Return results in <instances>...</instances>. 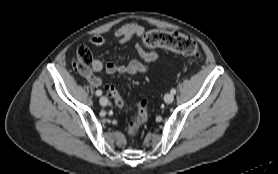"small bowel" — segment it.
<instances>
[{"label": "small bowel", "mask_w": 278, "mask_h": 174, "mask_svg": "<svg viewBox=\"0 0 278 174\" xmlns=\"http://www.w3.org/2000/svg\"><path fill=\"white\" fill-rule=\"evenodd\" d=\"M145 33V27L142 24L133 22L119 27L113 34V37L119 43L129 42L134 37H142ZM108 42V38L97 35L89 39L93 46H102ZM134 50L139 60H132L128 64H116L108 62L103 64L99 59L92 62L91 67L78 68V73L86 78L93 87H99L102 84L100 73L105 70L108 74H142L148 71V64L158 59V54L154 51H146L139 43L135 44Z\"/></svg>", "instance_id": "1"}]
</instances>
